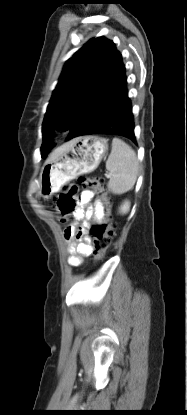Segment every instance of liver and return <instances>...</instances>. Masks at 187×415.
Returning <instances> with one entry per match:
<instances>
[{"label":"liver","instance_id":"liver-1","mask_svg":"<svg viewBox=\"0 0 187 415\" xmlns=\"http://www.w3.org/2000/svg\"><path fill=\"white\" fill-rule=\"evenodd\" d=\"M71 143H66L64 145H62L61 147L55 149L52 154L50 155L49 159L47 160V162H50L54 159H56L59 155H61L65 150H67L70 147Z\"/></svg>","mask_w":187,"mask_h":415}]
</instances>
